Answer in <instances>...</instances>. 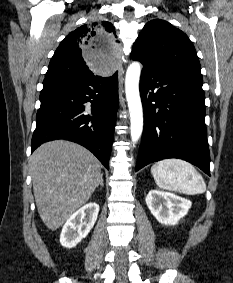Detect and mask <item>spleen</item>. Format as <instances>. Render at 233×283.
Here are the masks:
<instances>
[{
    "mask_svg": "<svg viewBox=\"0 0 233 283\" xmlns=\"http://www.w3.org/2000/svg\"><path fill=\"white\" fill-rule=\"evenodd\" d=\"M151 173L157 186L187 195L202 194L206 184L201 174L188 162L166 159L155 163Z\"/></svg>",
    "mask_w": 233,
    "mask_h": 283,
    "instance_id": "1",
    "label": "spleen"
}]
</instances>
